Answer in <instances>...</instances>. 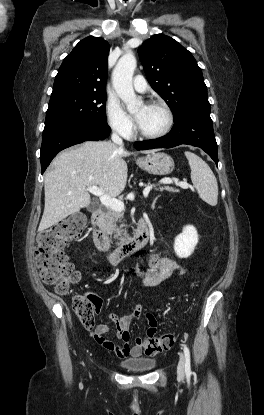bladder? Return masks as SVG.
I'll use <instances>...</instances> for the list:
<instances>
[{"label":"bladder","mask_w":264,"mask_h":415,"mask_svg":"<svg viewBox=\"0 0 264 415\" xmlns=\"http://www.w3.org/2000/svg\"><path fill=\"white\" fill-rule=\"evenodd\" d=\"M156 361L148 358L124 359L120 365L129 372H145L155 367Z\"/></svg>","instance_id":"bladder-1"}]
</instances>
